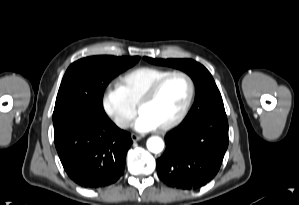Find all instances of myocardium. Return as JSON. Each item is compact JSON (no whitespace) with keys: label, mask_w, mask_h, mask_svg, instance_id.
Instances as JSON below:
<instances>
[{"label":"myocardium","mask_w":299,"mask_h":205,"mask_svg":"<svg viewBox=\"0 0 299 205\" xmlns=\"http://www.w3.org/2000/svg\"><path fill=\"white\" fill-rule=\"evenodd\" d=\"M175 76H180L183 77L189 86V93H188V97L187 100L182 108V110L180 111V113L171 121L167 122L166 124L157 127L159 131H168L176 126H178L187 116V114L189 113L191 106L193 104L194 101V97H195V83L192 79V77L184 72V71H171L167 74H165L164 76L160 77L158 80H156L145 92L144 94L141 96L139 102L137 103V110L138 112H140L141 108L144 107L145 105H147L148 103H150L154 97L157 95V93L159 92V90L161 89V87L164 85V83L169 80L172 77Z\"/></svg>","instance_id":"obj_1"}]
</instances>
